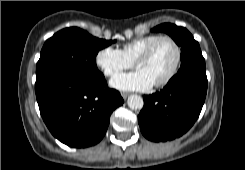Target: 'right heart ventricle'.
<instances>
[{"instance_id": "obj_1", "label": "right heart ventricle", "mask_w": 245, "mask_h": 170, "mask_svg": "<svg viewBox=\"0 0 245 170\" xmlns=\"http://www.w3.org/2000/svg\"><path fill=\"white\" fill-rule=\"evenodd\" d=\"M159 35L157 34H151L147 36H142L140 38H137L135 40H132L128 43H126L122 51L125 54V56L130 61H135L136 57L139 55V53L155 38H157Z\"/></svg>"}]
</instances>
